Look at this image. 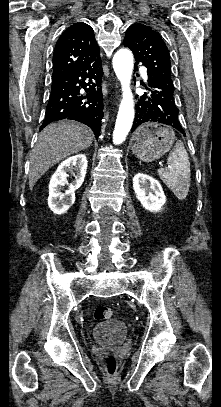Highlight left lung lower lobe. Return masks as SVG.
I'll use <instances>...</instances> for the list:
<instances>
[{
	"label": "left lung lower lobe",
	"instance_id": "left-lung-lower-lobe-1",
	"mask_svg": "<svg viewBox=\"0 0 221 407\" xmlns=\"http://www.w3.org/2000/svg\"><path fill=\"white\" fill-rule=\"evenodd\" d=\"M148 86L150 88H146L149 91L141 96L136 105L132 130L146 122H159L184 133L178 118L179 110L175 104L173 84L148 76Z\"/></svg>",
	"mask_w": 221,
	"mask_h": 407
}]
</instances>
